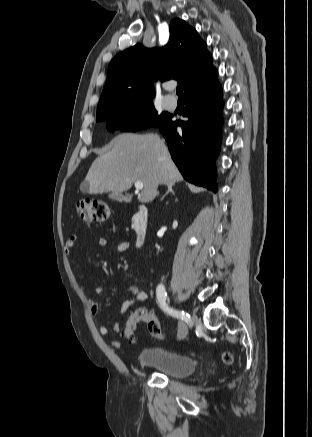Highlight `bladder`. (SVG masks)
Wrapping results in <instances>:
<instances>
[{
	"label": "bladder",
	"instance_id": "bladder-1",
	"mask_svg": "<svg viewBox=\"0 0 312 437\" xmlns=\"http://www.w3.org/2000/svg\"><path fill=\"white\" fill-rule=\"evenodd\" d=\"M142 367L155 370L170 378H184L196 370V361L189 355L168 351L159 347H149L139 355Z\"/></svg>",
	"mask_w": 312,
	"mask_h": 437
}]
</instances>
